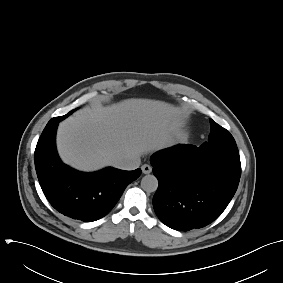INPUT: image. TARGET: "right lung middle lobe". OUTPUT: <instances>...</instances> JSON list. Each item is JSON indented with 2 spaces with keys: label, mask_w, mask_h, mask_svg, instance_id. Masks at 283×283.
Wrapping results in <instances>:
<instances>
[{
  "label": "right lung middle lobe",
  "mask_w": 283,
  "mask_h": 283,
  "mask_svg": "<svg viewBox=\"0 0 283 283\" xmlns=\"http://www.w3.org/2000/svg\"><path fill=\"white\" fill-rule=\"evenodd\" d=\"M75 110H72V111H70L68 114H66V115H64V116H60V117H55V118H53V119H57V120H63V119H65L66 117H68L71 113H73ZM52 120V119H51Z\"/></svg>",
  "instance_id": "obj_1"
}]
</instances>
